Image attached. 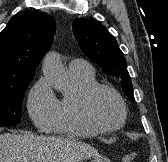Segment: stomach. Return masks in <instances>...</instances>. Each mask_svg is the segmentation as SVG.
<instances>
[{"mask_svg":"<svg viewBox=\"0 0 168 162\" xmlns=\"http://www.w3.org/2000/svg\"><path fill=\"white\" fill-rule=\"evenodd\" d=\"M90 162H111L108 158L106 157H94Z\"/></svg>","mask_w":168,"mask_h":162,"instance_id":"stomach-1","label":"stomach"}]
</instances>
